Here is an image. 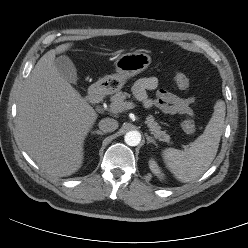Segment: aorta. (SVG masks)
I'll return each mask as SVG.
<instances>
[{"label":"aorta","mask_w":248,"mask_h":248,"mask_svg":"<svg viewBox=\"0 0 248 248\" xmlns=\"http://www.w3.org/2000/svg\"><path fill=\"white\" fill-rule=\"evenodd\" d=\"M124 140L129 146H137L141 141V134L138 131H129L126 133Z\"/></svg>","instance_id":"762f6f07"}]
</instances>
